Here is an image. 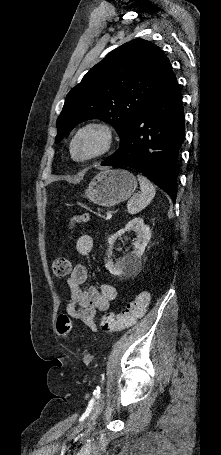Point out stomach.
<instances>
[{"instance_id": "stomach-1", "label": "stomach", "mask_w": 221, "mask_h": 455, "mask_svg": "<svg viewBox=\"0 0 221 455\" xmlns=\"http://www.w3.org/2000/svg\"><path fill=\"white\" fill-rule=\"evenodd\" d=\"M135 176L124 169H106L99 172L85 190V197L104 207L126 201L136 190Z\"/></svg>"}]
</instances>
